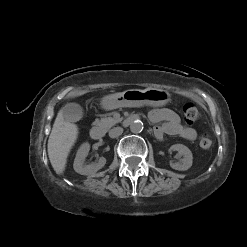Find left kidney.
<instances>
[{
  "mask_svg": "<svg viewBox=\"0 0 247 247\" xmlns=\"http://www.w3.org/2000/svg\"><path fill=\"white\" fill-rule=\"evenodd\" d=\"M170 150L178 151L179 155L183 156L180 163H170L171 168L179 171H186L192 166L193 155L188 147L183 144H174L170 147Z\"/></svg>",
  "mask_w": 247,
  "mask_h": 247,
  "instance_id": "left-kidney-1",
  "label": "left kidney"
}]
</instances>
